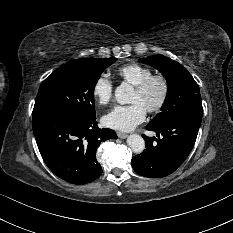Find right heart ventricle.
Masks as SVG:
<instances>
[{
    "label": "right heart ventricle",
    "instance_id": "right-heart-ventricle-1",
    "mask_svg": "<svg viewBox=\"0 0 233 233\" xmlns=\"http://www.w3.org/2000/svg\"><path fill=\"white\" fill-rule=\"evenodd\" d=\"M117 73L123 81L134 87L153 75L149 67L137 63L124 65L117 70Z\"/></svg>",
    "mask_w": 233,
    "mask_h": 233
}]
</instances>
